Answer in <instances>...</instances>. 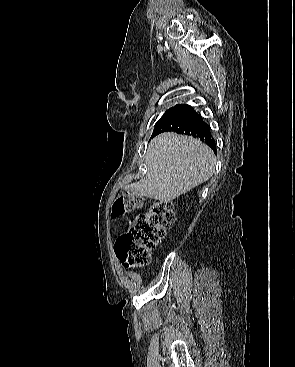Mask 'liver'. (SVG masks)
I'll return each mask as SVG.
<instances>
[{
  "label": "liver",
  "instance_id": "1",
  "mask_svg": "<svg viewBox=\"0 0 295 367\" xmlns=\"http://www.w3.org/2000/svg\"><path fill=\"white\" fill-rule=\"evenodd\" d=\"M215 155L201 141L172 132L156 136L149 144L147 173L127 189L138 196L164 203L207 181L215 170Z\"/></svg>",
  "mask_w": 295,
  "mask_h": 367
}]
</instances>
